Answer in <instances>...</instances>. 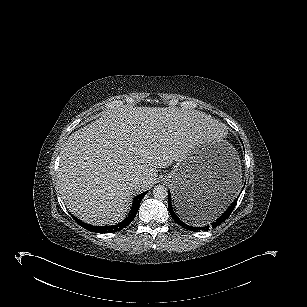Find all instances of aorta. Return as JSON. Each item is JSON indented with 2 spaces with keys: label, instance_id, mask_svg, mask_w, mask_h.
I'll list each match as a JSON object with an SVG mask.
<instances>
[{
  "label": "aorta",
  "instance_id": "1",
  "mask_svg": "<svg viewBox=\"0 0 307 307\" xmlns=\"http://www.w3.org/2000/svg\"><path fill=\"white\" fill-rule=\"evenodd\" d=\"M153 196L156 199H159V200H163V199L167 198V196H168L167 188L163 185L155 186L154 189H153Z\"/></svg>",
  "mask_w": 307,
  "mask_h": 307
}]
</instances>
